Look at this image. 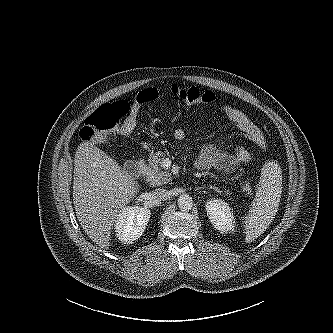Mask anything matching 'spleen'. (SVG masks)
Masks as SVG:
<instances>
[{"label":"spleen","mask_w":333,"mask_h":333,"mask_svg":"<svg viewBox=\"0 0 333 333\" xmlns=\"http://www.w3.org/2000/svg\"><path fill=\"white\" fill-rule=\"evenodd\" d=\"M282 193V171L275 161H267L261 169V176L255 198L244 220L245 241L253 242L275 218Z\"/></svg>","instance_id":"1"}]
</instances>
